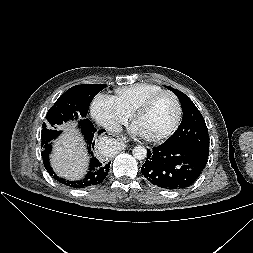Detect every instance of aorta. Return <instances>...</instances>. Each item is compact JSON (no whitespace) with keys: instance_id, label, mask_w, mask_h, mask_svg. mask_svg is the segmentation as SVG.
Returning <instances> with one entry per match:
<instances>
[{"instance_id":"obj_1","label":"aorta","mask_w":253,"mask_h":253,"mask_svg":"<svg viewBox=\"0 0 253 253\" xmlns=\"http://www.w3.org/2000/svg\"><path fill=\"white\" fill-rule=\"evenodd\" d=\"M132 153H133L134 158L137 160H143L147 157V150L143 146L134 147Z\"/></svg>"}]
</instances>
